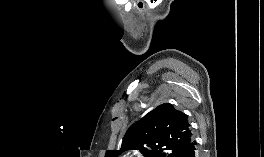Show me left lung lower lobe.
<instances>
[{"label": "left lung lower lobe", "mask_w": 264, "mask_h": 157, "mask_svg": "<svg viewBox=\"0 0 264 157\" xmlns=\"http://www.w3.org/2000/svg\"><path fill=\"white\" fill-rule=\"evenodd\" d=\"M185 157H199L195 140H193L187 147L186 152H185Z\"/></svg>", "instance_id": "1"}]
</instances>
